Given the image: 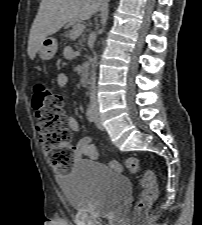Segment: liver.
<instances>
[{
  "instance_id": "1",
  "label": "liver",
  "mask_w": 202,
  "mask_h": 225,
  "mask_svg": "<svg viewBox=\"0 0 202 225\" xmlns=\"http://www.w3.org/2000/svg\"><path fill=\"white\" fill-rule=\"evenodd\" d=\"M101 5V0H42L30 30V59L35 58L46 37L58 32L68 22L91 18Z\"/></svg>"
}]
</instances>
